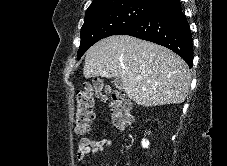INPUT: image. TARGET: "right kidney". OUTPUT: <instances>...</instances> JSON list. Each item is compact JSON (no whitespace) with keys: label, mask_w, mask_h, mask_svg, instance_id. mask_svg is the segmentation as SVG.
I'll return each mask as SVG.
<instances>
[{"label":"right kidney","mask_w":227,"mask_h":166,"mask_svg":"<svg viewBox=\"0 0 227 166\" xmlns=\"http://www.w3.org/2000/svg\"><path fill=\"white\" fill-rule=\"evenodd\" d=\"M148 146H149V141L146 140V139H143V140H142V147H143V148H148Z\"/></svg>","instance_id":"obj_1"}]
</instances>
